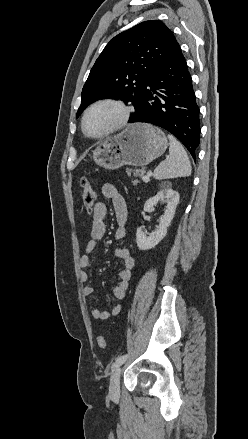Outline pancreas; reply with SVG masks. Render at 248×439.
<instances>
[{
    "instance_id": "obj_1",
    "label": "pancreas",
    "mask_w": 248,
    "mask_h": 439,
    "mask_svg": "<svg viewBox=\"0 0 248 439\" xmlns=\"http://www.w3.org/2000/svg\"><path fill=\"white\" fill-rule=\"evenodd\" d=\"M146 173V170L144 169V168H141V169H130V170H127V174L128 175H131V174H133L135 177H141V176H143L144 174ZM139 183V180H137V179H135V180H133L132 181V184L135 186V185H137Z\"/></svg>"
}]
</instances>
